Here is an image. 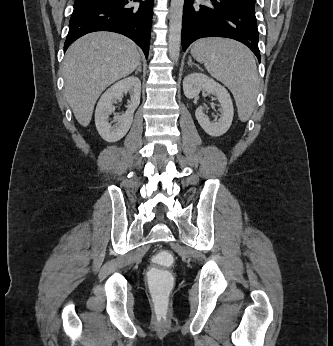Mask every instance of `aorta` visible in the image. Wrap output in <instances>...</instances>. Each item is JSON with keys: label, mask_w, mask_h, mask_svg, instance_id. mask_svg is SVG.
<instances>
[{"label": "aorta", "mask_w": 333, "mask_h": 346, "mask_svg": "<svg viewBox=\"0 0 333 346\" xmlns=\"http://www.w3.org/2000/svg\"><path fill=\"white\" fill-rule=\"evenodd\" d=\"M184 0H171L169 16V56L175 63L179 60Z\"/></svg>", "instance_id": "aorta-1"}]
</instances>
